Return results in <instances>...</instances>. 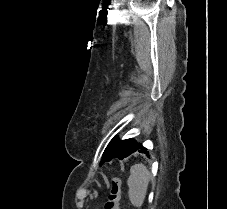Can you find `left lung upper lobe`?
<instances>
[{
    "mask_svg": "<svg viewBox=\"0 0 227 209\" xmlns=\"http://www.w3.org/2000/svg\"><path fill=\"white\" fill-rule=\"evenodd\" d=\"M134 142L135 140L133 138L126 140H119L117 137L113 138L105 149L100 164L110 161L113 158H122L123 155L131 149Z\"/></svg>",
    "mask_w": 227,
    "mask_h": 209,
    "instance_id": "5c2ea615",
    "label": "left lung upper lobe"
}]
</instances>
